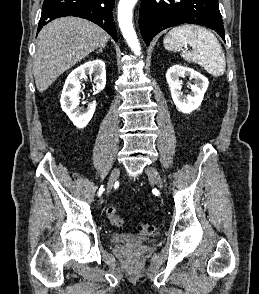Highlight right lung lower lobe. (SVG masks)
<instances>
[{
  "instance_id": "98d812e1",
  "label": "right lung lower lobe",
  "mask_w": 259,
  "mask_h": 294,
  "mask_svg": "<svg viewBox=\"0 0 259 294\" xmlns=\"http://www.w3.org/2000/svg\"><path fill=\"white\" fill-rule=\"evenodd\" d=\"M114 2L115 0H45L38 31L56 18L77 16L96 23L117 41V31L113 23L112 12Z\"/></svg>"
}]
</instances>
